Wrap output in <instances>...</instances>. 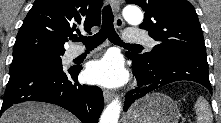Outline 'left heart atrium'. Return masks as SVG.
I'll use <instances>...</instances> for the list:
<instances>
[{
    "label": "left heart atrium",
    "instance_id": "left-heart-atrium-1",
    "mask_svg": "<svg viewBox=\"0 0 221 123\" xmlns=\"http://www.w3.org/2000/svg\"><path fill=\"white\" fill-rule=\"evenodd\" d=\"M85 77L90 83L113 87L126 79V72L118 56L107 55L90 63L85 71Z\"/></svg>",
    "mask_w": 221,
    "mask_h": 123
}]
</instances>
